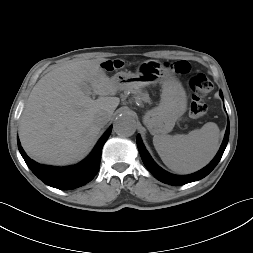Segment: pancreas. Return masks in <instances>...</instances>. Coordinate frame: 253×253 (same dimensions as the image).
Listing matches in <instances>:
<instances>
[{"label": "pancreas", "mask_w": 253, "mask_h": 253, "mask_svg": "<svg viewBox=\"0 0 253 253\" xmlns=\"http://www.w3.org/2000/svg\"><path fill=\"white\" fill-rule=\"evenodd\" d=\"M133 92L136 95V97H135L136 101H138V102H142V101L150 102V98H149L148 93L142 92L141 90H134Z\"/></svg>", "instance_id": "pancreas-1"}]
</instances>
